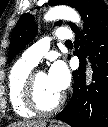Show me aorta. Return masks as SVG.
Masks as SVG:
<instances>
[{"label": "aorta", "mask_w": 108, "mask_h": 127, "mask_svg": "<svg viewBox=\"0 0 108 127\" xmlns=\"http://www.w3.org/2000/svg\"><path fill=\"white\" fill-rule=\"evenodd\" d=\"M44 19L46 21H55L58 19H63L67 21H71L77 25L81 24V18L78 12L69 7V6H55L49 9V11L45 14ZM87 77L90 78V73H87Z\"/></svg>", "instance_id": "1"}]
</instances>
